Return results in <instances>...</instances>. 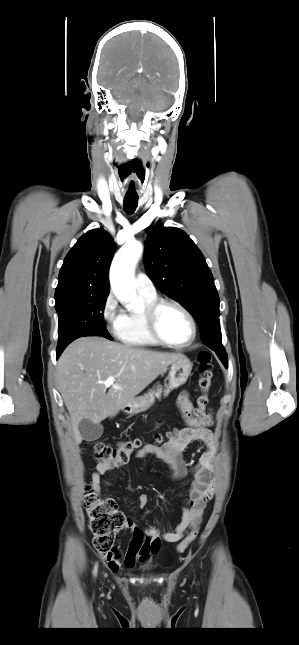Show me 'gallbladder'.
<instances>
[{"label": "gallbladder", "instance_id": "1", "mask_svg": "<svg viewBox=\"0 0 299 645\" xmlns=\"http://www.w3.org/2000/svg\"><path fill=\"white\" fill-rule=\"evenodd\" d=\"M78 429L85 441L97 440L103 434V426L101 424H95L89 419H83L80 421Z\"/></svg>", "mask_w": 299, "mask_h": 645}]
</instances>
